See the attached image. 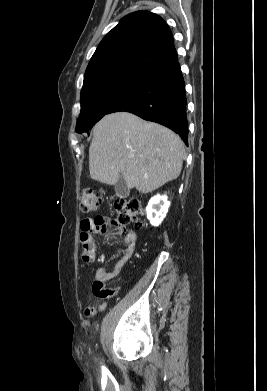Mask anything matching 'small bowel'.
Wrapping results in <instances>:
<instances>
[{
  "instance_id": "small-bowel-1",
  "label": "small bowel",
  "mask_w": 267,
  "mask_h": 391,
  "mask_svg": "<svg viewBox=\"0 0 267 391\" xmlns=\"http://www.w3.org/2000/svg\"><path fill=\"white\" fill-rule=\"evenodd\" d=\"M80 241L82 245V259L85 262H92L95 259L96 246L95 235L109 232L114 239H122L123 251L121 257L116 262L112 271H106L103 268H99L95 274V281L92 286L93 293L100 298H107L117 293L118 288H108L107 283L117 278L123 267L133 255L137 234L132 229H127L124 226H120L106 217L97 216L95 218L83 219L80 224ZM82 239H85L82 242ZM96 310H87L85 314L91 316L95 314Z\"/></svg>"
}]
</instances>
